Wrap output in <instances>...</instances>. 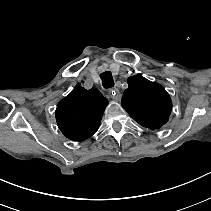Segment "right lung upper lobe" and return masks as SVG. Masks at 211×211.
<instances>
[{"label":"right lung upper lobe","mask_w":211,"mask_h":211,"mask_svg":"<svg viewBox=\"0 0 211 211\" xmlns=\"http://www.w3.org/2000/svg\"><path fill=\"white\" fill-rule=\"evenodd\" d=\"M107 104L98 89L76 86L57 105L58 127L71 140H85L98 130Z\"/></svg>","instance_id":"obj_1"}]
</instances>
